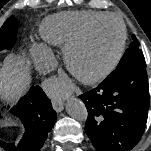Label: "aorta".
I'll return each instance as SVG.
<instances>
[{"label":"aorta","instance_id":"aorta-1","mask_svg":"<svg viewBox=\"0 0 151 151\" xmlns=\"http://www.w3.org/2000/svg\"><path fill=\"white\" fill-rule=\"evenodd\" d=\"M66 111L69 116L78 120L86 121L88 117V111L83 101L78 98L70 97L66 102Z\"/></svg>","mask_w":151,"mask_h":151}]
</instances>
